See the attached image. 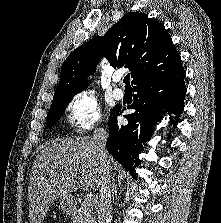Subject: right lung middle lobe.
<instances>
[{
    "mask_svg": "<svg viewBox=\"0 0 221 223\" xmlns=\"http://www.w3.org/2000/svg\"><path fill=\"white\" fill-rule=\"evenodd\" d=\"M72 99H73V96L52 102V107H51L50 113L48 115L46 128L51 127L60 119V117L65 112L67 105L69 104V102ZM115 110H116V108H113V110L111 111V115L115 112Z\"/></svg>",
    "mask_w": 221,
    "mask_h": 223,
    "instance_id": "1",
    "label": "right lung middle lobe"
}]
</instances>
